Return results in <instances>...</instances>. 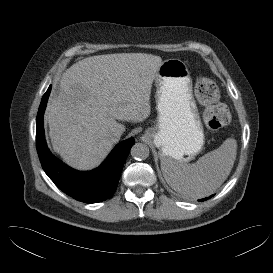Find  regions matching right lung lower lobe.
<instances>
[{"instance_id": "right-lung-lower-lobe-1", "label": "right lung lower lobe", "mask_w": 273, "mask_h": 273, "mask_svg": "<svg viewBox=\"0 0 273 273\" xmlns=\"http://www.w3.org/2000/svg\"><path fill=\"white\" fill-rule=\"evenodd\" d=\"M51 86L44 94L36 122V144L41 165L54 184L68 196L84 203H96L110 198L120 178L124 162L134 138L119 143L102 165L90 172H79L54 157L49 151L45 135L43 117Z\"/></svg>"}]
</instances>
